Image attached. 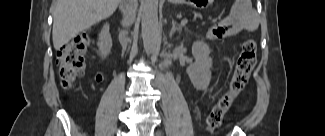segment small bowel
<instances>
[{"mask_svg":"<svg viewBox=\"0 0 325 136\" xmlns=\"http://www.w3.org/2000/svg\"><path fill=\"white\" fill-rule=\"evenodd\" d=\"M253 28L252 23L247 18H242L241 23L238 26H233L229 22H221L212 26L207 36L211 39H222L231 35H235L242 30H251ZM104 79L103 73H98L95 76L96 82H101Z\"/></svg>","mask_w":325,"mask_h":136,"instance_id":"c3829d8e","label":"small bowel"}]
</instances>
